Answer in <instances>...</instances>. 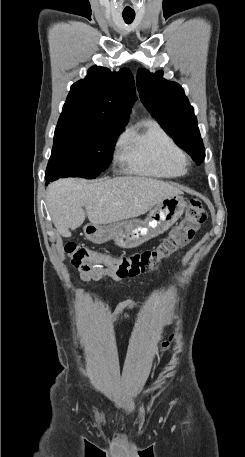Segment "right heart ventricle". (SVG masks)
<instances>
[{"instance_id":"right-heart-ventricle-1","label":"right heart ventricle","mask_w":245,"mask_h":457,"mask_svg":"<svg viewBox=\"0 0 245 457\" xmlns=\"http://www.w3.org/2000/svg\"><path fill=\"white\" fill-rule=\"evenodd\" d=\"M119 153L142 174L174 178L186 172L181 151L156 121L144 120L130 125L121 137Z\"/></svg>"}]
</instances>
